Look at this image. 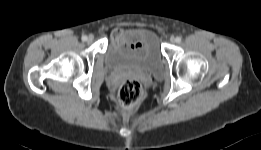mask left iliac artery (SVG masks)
Listing matches in <instances>:
<instances>
[{
    "label": "left iliac artery",
    "mask_w": 261,
    "mask_h": 150,
    "mask_svg": "<svg viewBox=\"0 0 261 150\" xmlns=\"http://www.w3.org/2000/svg\"><path fill=\"white\" fill-rule=\"evenodd\" d=\"M175 40H176L177 43H180L182 41L181 37H176Z\"/></svg>",
    "instance_id": "1"
}]
</instances>
